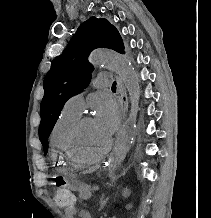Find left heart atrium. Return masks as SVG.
Returning a JSON list of instances; mask_svg holds the SVG:
<instances>
[{
	"mask_svg": "<svg viewBox=\"0 0 211 218\" xmlns=\"http://www.w3.org/2000/svg\"><path fill=\"white\" fill-rule=\"evenodd\" d=\"M96 126L106 135L112 136L119 125V111L115 101L107 95H102L95 102Z\"/></svg>",
	"mask_w": 211,
	"mask_h": 218,
	"instance_id": "left-heart-atrium-1",
	"label": "left heart atrium"
}]
</instances>
